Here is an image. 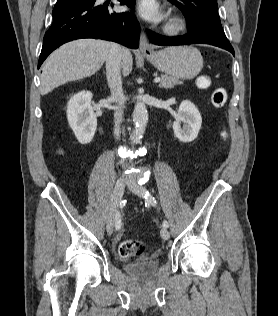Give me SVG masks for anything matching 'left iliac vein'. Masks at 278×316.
<instances>
[{
  "mask_svg": "<svg viewBox=\"0 0 278 316\" xmlns=\"http://www.w3.org/2000/svg\"><path fill=\"white\" fill-rule=\"evenodd\" d=\"M128 187L129 189L138 197L143 198L145 194V189L144 187L140 186L134 181L128 182ZM160 235L164 240H168L170 238L169 231L167 228L163 227L160 231Z\"/></svg>",
  "mask_w": 278,
  "mask_h": 316,
  "instance_id": "4c4485c4",
  "label": "left iliac vein"
}]
</instances>
